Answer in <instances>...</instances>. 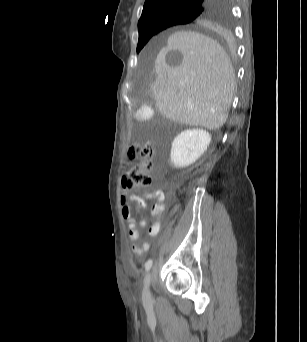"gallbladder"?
Here are the masks:
<instances>
[{"label": "gallbladder", "mask_w": 307, "mask_h": 342, "mask_svg": "<svg viewBox=\"0 0 307 342\" xmlns=\"http://www.w3.org/2000/svg\"><path fill=\"white\" fill-rule=\"evenodd\" d=\"M149 112H150L149 105L147 103H144V104L140 103L138 105L135 116H136V118H139V121L141 123H146L148 121L146 114H149Z\"/></svg>", "instance_id": "1"}]
</instances>
